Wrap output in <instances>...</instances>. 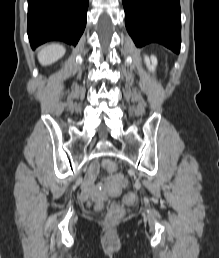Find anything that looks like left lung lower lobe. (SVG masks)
Here are the masks:
<instances>
[{
	"mask_svg": "<svg viewBox=\"0 0 219 258\" xmlns=\"http://www.w3.org/2000/svg\"><path fill=\"white\" fill-rule=\"evenodd\" d=\"M125 24L137 47L159 43L179 53L180 0H123Z\"/></svg>",
	"mask_w": 219,
	"mask_h": 258,
	"instance_id": "left-lung-lower-lobe-1",
	"label": "left lung lower lobe"
}]
</instances>
